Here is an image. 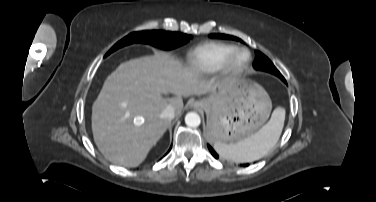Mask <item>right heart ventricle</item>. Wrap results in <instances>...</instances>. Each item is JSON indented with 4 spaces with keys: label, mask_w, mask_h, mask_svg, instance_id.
<instances>
[{
    "label": "right heart ventricle",
    "mask_w": 376,
    "mask_h": 202,
    "mask_svg": "<svg viewBox=\"0 0 376 202\" xmlns=\"http://www.w3.org/2000/svg\"><path fill=\"white\" fill-rule=\"evenodd\" d=\"M237 47L224 42H207L192 49L187 56L188 67L201 73L218 71L226 56Z\"/></svg>",
    "instance_id": "1"
}]
</instances>
